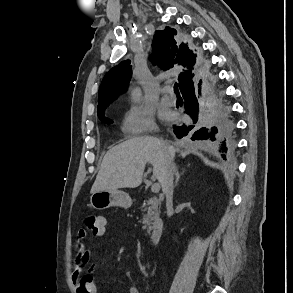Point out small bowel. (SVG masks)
<instances>
[{
    "label": "small bowel",
    "instance_id": "small-bowel-1",
    "mask_svg": "<svg viewBox=\"0 0 293 293\" xmlns=\"http://www.w3.org/2000/svg\"><path fill=\"white\" fill-rule=\"evenodd\" d=\"M106 233V229L95 235L96 237H102ZM88 232L85 229H80L77 233V241L79 244L76 261L74 265V271L72 279L77 288V293H98L97 286L91 275H82L84 268L88 265L90 260L91 252L85 246L84 242L88 238ZM125 278L130 280L132 278V273L130 271L125 272ZM128 293H140L139 289L130 285L128 288Z\"/></svg>",
    "mask_w": 293,
    "mask_h": 293
}]
</instances>
